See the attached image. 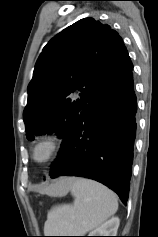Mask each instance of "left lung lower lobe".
Returning a JSON list of instances; mask_svg holds the SVG:
<instances>
[{
    "label": "left lung lower lobe",
    "instance_id": "0a47b994",
    "mask_svg": "<svg viewBox=\"0 0 158 237\" xmlns=\"http://www.w3.org/2000/svg\"><path fill=\"white\" fill-rule=\"evenodd\" d=\"M132 69L101 90L80 112L51 165L49 177L94 179L126 203L136 136Z\"/></svg>",
    "mask_w": 158,
    "mask_h": 237
}]
</instances>
